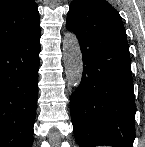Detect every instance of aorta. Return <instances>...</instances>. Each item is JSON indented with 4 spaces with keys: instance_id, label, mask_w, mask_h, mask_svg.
Wrapping results in <instances>:
<instances>
[{
    "instance_id": "1",
    "label": "aorta",
    "mask_w": 145,
    "mask_h": 147,
    "mask_svg": "<svg viewBox=\"0 0 145 147\" xmlns=\"http://www.w3.org/2000/svg\"><path fill=\"white\" fill-rule=\"evenodd\" d=\"M64 69L68 85L77 87L82 79L83 61L79 41L73 32H66L62 45Z\"/></svg>"
}]
</instances>
